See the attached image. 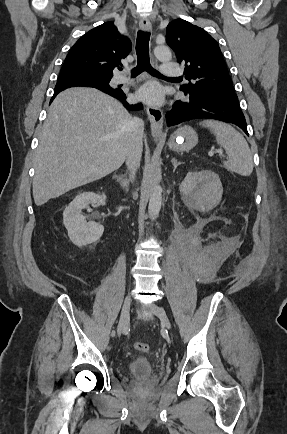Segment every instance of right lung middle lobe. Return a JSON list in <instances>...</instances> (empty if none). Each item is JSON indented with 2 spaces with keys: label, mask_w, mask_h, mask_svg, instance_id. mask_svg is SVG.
Masks as SVG:
<instances>
[{
  "label": "right lung middle lobe",
  "mask_w": 287,
  "mask_h": 434,
  "mask_svg": "<svg viewBox=\"0 0 287 434\" xmlns=\"http://www.w3.org/2000/svg\"><path fill=\"white\" fill-rule=\"evenodd\" d=\"M112 75H101L87 71H61L57 82L78 81L89 84L92 87L113 89L109 86Z\"/></svg>",
  "instance_id": "dd1d6c3e"
}]
</instances>
